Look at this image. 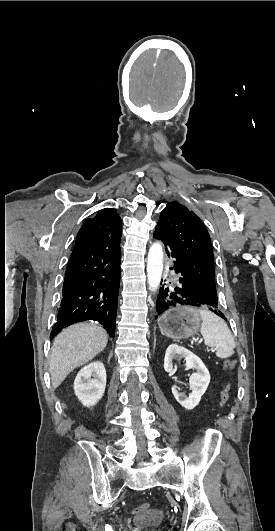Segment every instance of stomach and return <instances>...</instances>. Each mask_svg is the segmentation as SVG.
Here are the masks:
<instances>
[{
  "label": "stomach",
  "mask_w": 275,
  "mask_h": 531,
  "mask_svg": "<svg viewBox=\"0 0 275 531\" xmlns=\"http://www.w3.org/2000/svg\"><path fill=\"white\" fill-rule=\"evenodd\" d=\"M201 317L193 309L191 301H182L177 309H169L160 319L158 325L161 333L170 339H188L193 337L201 327Z\"/></svg>",
  "instance_id": "0dacf381"
}]
</instances>
